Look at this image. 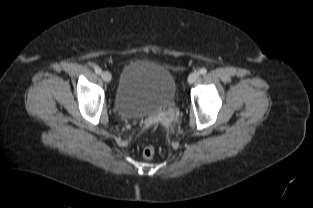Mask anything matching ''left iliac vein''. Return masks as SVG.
Instances as JSON below:
<instances>
[{"mask_svg":"<svg viewBox=\"0 0 313 208\" xmlns=\"http://www.w3.org/2000/svg\"><path fill=\"white\" fill-rule=\"evenodd\" d=\"M199 76H200L199 72H192L188 77V82L194 83L199 78Z\"/></svg>","mask_w":313,"mask_h":208,"instance_id":"left-iliac-vein-1","label":"left iliac vein"}]
</instances>
